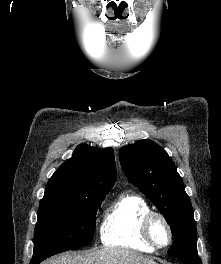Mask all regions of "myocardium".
<instances>
[{
    "instance_id": "obj_1",
    "label": "myocardium",
    "mask_w": 221,
    "mask_h": 264,
    "mask_svg": "<svg viewBox=\"0 0 221 264\" xmlns=\"http://www.w3.org/2000/svg\"><path fill=\"white\" fill-rule=\"evenodd\" d=\"M155 220L161 221L168 232V240L165 244H159L153 236L152 227ZM141 233L145 242L157 250L168 247L173 240V230L169 221L162 213L157 211L150 210L144 215L141 223Z\"/></svg>"
}]
</instances>
